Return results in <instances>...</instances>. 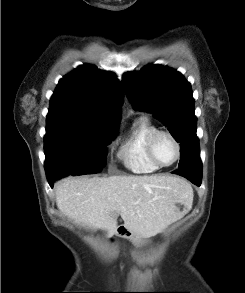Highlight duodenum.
<instances>
[{
    "label": "duodenum",
    "instance_id": "410a0bca",
    "mask_svg": "<svg viewBox=\"0 0 245 293\" xmlns=\"http://www.w3.org/2000/svg\"><path fill=\"white\" fill-rule=\"evenodd\" d=\"M113 229H114L115 235L118 237H125L129 234V230L125 226H116Z\"/></svg>",
    "mask_w": 245,
    "mask_h": 293
}]
</instances>
